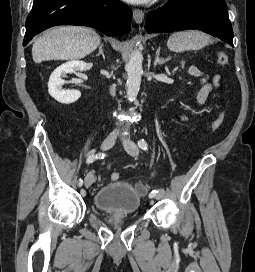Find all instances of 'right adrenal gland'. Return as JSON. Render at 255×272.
<instances>
[{"mask_svg":"<svg viewBox=\"0 0 255 272\" xmlns=\"http://www.w3.org/2000/svg\"><path fill=\"white\" fill-rule=\"evenodd\" d=\"M100 55H102L103 59L105 60V55L103 52V44L102 43H100V45H99V52H98L97 56H100Z\"/></svg>","mask_w":255,"mask_h":272,"instance_id":"2a0ac1e0","label":"right adrenal gland"}]
</instances>
